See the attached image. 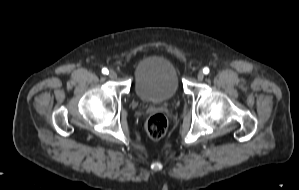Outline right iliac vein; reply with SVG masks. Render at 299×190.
<instances>
[{
    "mask_svg": "<svg viewBox=\"0 0 299 190\" xmlns=\"http://www.w3.org/2000/svg\"><path fill=\"white\" fill-rule=\"evenodd\" d=\"M109 77H110L111 79H115V78L117 77V73H116V71H114V70H110V72H109Z\"/></svg>",
    "mask_w": 299,
    "mask_h": 190,
    "instance_id": "right-iliac-vein-1",
    "label": "right iliac vein"
}]
</instances>
